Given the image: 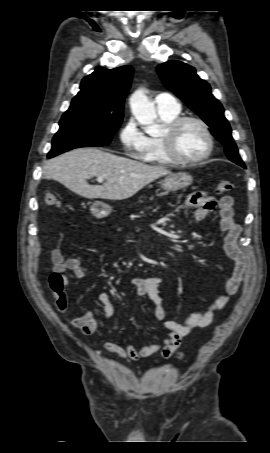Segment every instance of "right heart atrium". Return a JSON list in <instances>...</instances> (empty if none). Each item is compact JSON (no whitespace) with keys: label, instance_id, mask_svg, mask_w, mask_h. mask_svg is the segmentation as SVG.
<instances>
[{"label":"right heart atrium","instance_id":"d8ad5b80","mask_svg":"<svg viewBox=\"0 0 270 453\" xmlns=\"http://www.w3.org/2000/svg\"><path fill=\"white\" fill-rule=\"evenodd\" d=\"M119 139L125 154L137 158L144 152L148 137L138 126L136 120L130 117L122 126Z\"/></svg>","mask_w":270,"mask_h":453}]
</instances>
